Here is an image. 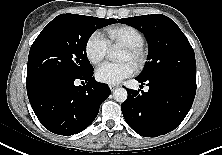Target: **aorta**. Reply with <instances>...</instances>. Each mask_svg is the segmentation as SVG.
Masks as SVG:
<instances>
[{"label":"aorta","instance_id":"obj_1","mask_svg":"<svg viewBox=\"0 0 222 155\" xmlns=\"http://www.w3.org/2000/svg\"><path fill=\"white\" fill-rule=\"evenodd\" d=\"M109 59L110 60H116L118 57V53L117 51H112L109 53ZM127 91L124 88H117L115 89V91L113 92V98L115 101L123 103L127 100Z\"/></svg>","mask_w":222,"mask_h":155}]
</instances>
